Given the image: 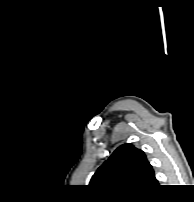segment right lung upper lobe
<instances>
[{
	"instance_id": "cb5924a9",
	"label": "right lung upper lobe",
	"mask_w": 194,
	"mask_h": 202,
	"mask_svg": "<svg viewBox=\"0 0 194 202\" xmlns=\"http://www.w3.org/2000/svg\"><path fill=\"white\" fill-rule=\"evenodd\" d=\"M90 185L107 194L137 195L159 184L144 152L123 144L98 168Z\"/></svg>"
}]
</instances>
